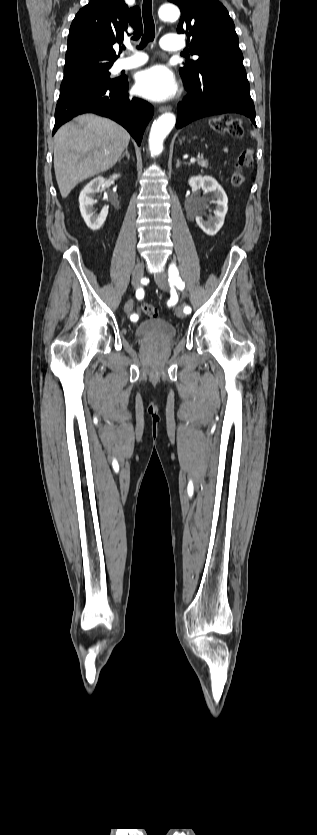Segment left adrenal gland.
<instances>
[{
    "label": "left adrenal gland",
    "mask_w": 317,
    "mask_h": 835,
    "mask_svg": "<svg viewBox=\"0 0 317 835\" xmlns=\"http://www.w3.org/2000/svg\"><path fill=\"white\" fill-rule=\"evenodd\" d=\"M183 164H185V165H191V163H188V162H183ZM180 165H181V162H180V160L178 159V160H177V164H176V168H179V167H180Z\"/></svg>",
    "instance_id": "a2214340"
}]
</instances>
